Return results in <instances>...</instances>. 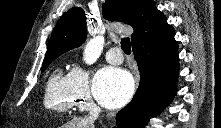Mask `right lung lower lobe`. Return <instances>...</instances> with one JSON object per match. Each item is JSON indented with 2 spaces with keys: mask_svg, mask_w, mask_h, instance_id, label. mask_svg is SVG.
Here are the masks:
<instances>
[{
  "mask_svg": "<svg viewBox=\"0 0 221 128\" xmlns=\"http://www.w3.org/2000/svg\"><path fill=\"white\" fill-rule=\"evenodd\" d=\"M174 34L161 45L132 46L140 84L132 101L117 114L118 128H144L174 97L179 71Z\"/></svg>",
  "mask_w": 221,
  "mask_h": 128,
  "instance_id": "obj_1",
  "label": "right lung lower lobe"
}]
</instances>
